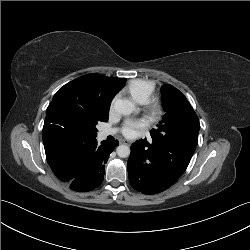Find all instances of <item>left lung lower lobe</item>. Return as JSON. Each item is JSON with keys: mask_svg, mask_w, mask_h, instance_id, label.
Here are the masks:
<instances>
[{"mask_svg": "<svg viewBox=\"0 0 250 250\" xmlns=\"http://www.w3.org/2000/svg\"><path fill=\"white\" fill-rule=\"evenodd\" d=\"M197 144L195 134L150 143L142 139L136 141L128 159L131 186L149 195L168 189L186 170Z\"/></svg>", "mask_w": 250, "mask_h": 250, "instance_id": "1", "label": "left lung lower lobe"}]
</instances>
